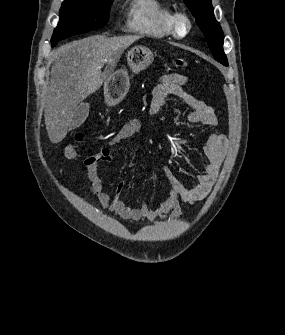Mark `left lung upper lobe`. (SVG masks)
Listing matches in <instances>:
<instances>
[{"label":"left lung upper lobe","mask_w":285,"mask_h":335,"mask_svg":"<svg viewBox=\"0 0 285 335\" xmlns=\"http://www.w3.org/2000/svg\"><path fill=\"white\" fill-rule=\"evenodd\" d=\"M196 19V23L204 33L209 48L215 59L228 66L227 57L223 51V37L220 24L213 13L211 0H184Z\"/></svg>","instance_id":"left-lung-upper-lobe-1"}]
</instances>
